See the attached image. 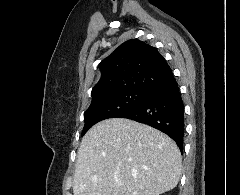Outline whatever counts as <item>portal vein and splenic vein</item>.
I'll use <instances>...</instances> for the list:
<instances>
[{"mask_svg":"<svg viewBox=\"0 0 240 195\" xmlns=\"http://www.w3.org/2000/svg\"><path fill=\"white\" fill-rule=\"evenodd\" d=\"M117 185H121V181H116Z\"/></svg>","mask_w":240,"mask_h":195,"instance_id":"18ae733b","label":"portal vein and splenic vein"}]
</instances>
